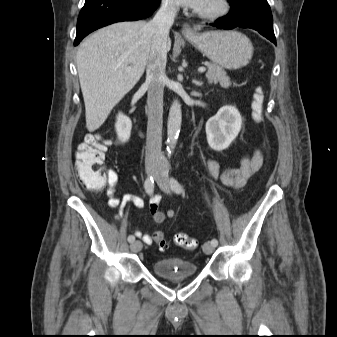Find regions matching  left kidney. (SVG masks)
I'll return each instance as SVG.
<instances>
[{
  "mask_svg": "<svg viewBox=\"0 0 337 337\" xmlns=\"http://www.w3.org/2000/svg\"><path fill=\"white\" fill-rule=\"evenodd\" d=\"M242 127V118L234 106L222 107L206 123V135L209 146L215 151L229 147Z\"/></svg>",
  "mask_w": 337,
  "mask_h": 337,
  "instance_id": "1",
  "label": "left kidney"
}]
</instances>
